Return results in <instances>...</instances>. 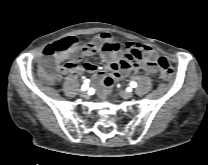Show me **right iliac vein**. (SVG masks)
<instances>
[{"label": "right iliac vein", "instance_id": "right-iliac-vein-1", "mask_svg": "<svg viewBox=\"0 0 208 165\" xmlns=\"http://www.w3.org/2000/svg\"><path fill=\"white\" fill-rule=\"evenodd\" d=\"M81 97H84V98L88 97V92L87 91H82L81 92Z\"/></svg>", "mask_w": 208, "mask_h": 165}]
</instances>
